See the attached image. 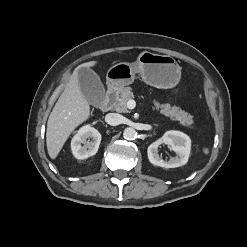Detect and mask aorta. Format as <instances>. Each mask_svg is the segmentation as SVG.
I'll return each mask as SVG.
<instances>
[{"mask_svg":"<svg viewBox=\"0 0 247 247\" xmlns=\"http://www.w3.org/2000/svg\"><path fill=\"white\" fill-rule=\"evenodd\" d=\"M137 132L134 128L127 127L124 129L123 136L127 140H133L136 138Z\"/></svg>","mask_w":247,"mask_h":247,"instance_id":"762f6f07","label":"aorta"}]
</instances>
